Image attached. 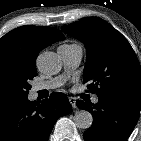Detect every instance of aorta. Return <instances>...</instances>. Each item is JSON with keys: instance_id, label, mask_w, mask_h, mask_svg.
Instances as JSON below:
<instances>
[{"instance_id": "obj_1", "label": "aorta", "mask_w": 141, "mask_h": 141, "mask_svg": "<svg viewBox=\"0 0 141 141\" xmlns=\"http://www.w3.org/2000/svg\"><path fill=\"white\" fill-rule=\"evenodd\" d=\"M39 71L46 75L57 74L61 70V62L56 53L45 51L37 57ZM74 123L80 129H88L93 122L92 114L86 110H79L74 115Z\"/></svg>"}]
</instances>
